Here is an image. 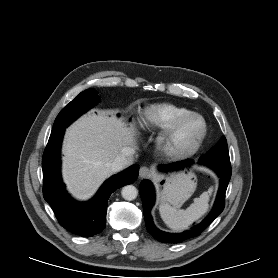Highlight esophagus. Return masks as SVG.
Here are the masks:
<instances>
[{
    "label": "esophagus",
    "mask_w": 278,
    "mask_h": 278,
    "mask_svg": "<svg viewBox=\"0 0 278 278\" xmlns=\"http://www.w3.org/2000/svg\"><path fill=\"white\" fill-rule=\"evenodd\" d=\"M151 175V171L148 167L146 166H142L140 169H139V176L141 178H147V177H150Z\"/></svg>",
    "instance_id": "34e87169"
}]
</instances>
